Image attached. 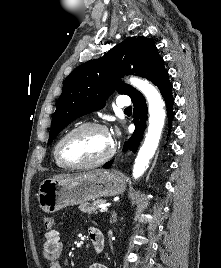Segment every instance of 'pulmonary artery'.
Returning <instances> with one entry per match:
<instances>
[{"label":"pulmonary artery","instance_id":"obj_1","mask_svg":"<svg viewBox=\"0 0 221 268\" xmlns=\"http://www.w3.org/2000/svg\"><path fill=\"white\" fill-rule=\"evenodd\" d=\"M117 105L119 107H129L131 105V101L127 96H119L117 99Z\"/></svg>","mask_w":221,"mask_h":268}]
</instances>
